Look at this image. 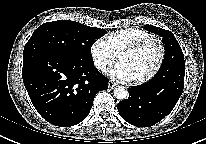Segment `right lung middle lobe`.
<instances>
[{
  "label": "right lung middle lobe",
  "mask_w": 206,
  "mask_h": 144,
  "mask_svg": "<svg viewBox=\"0 0 206 144\" xmlns=\"http://www.w3.org/2000/svg\"><path fill=\"white\" fill-rule=\"evenodd\" d=\"M106 34L97 27L85 26L70 20L47 22L38 27L24 48L23 56L34 52L52 53L58 56L91 60V46Z\"/></svg>",
  "instance_id": "1"
}]
</instances>
